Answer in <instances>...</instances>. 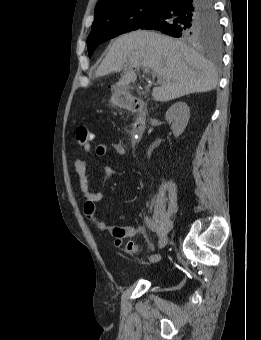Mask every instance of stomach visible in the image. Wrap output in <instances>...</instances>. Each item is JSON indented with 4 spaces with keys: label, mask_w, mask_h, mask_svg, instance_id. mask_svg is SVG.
<instances>
[{
    "label": "stomach",
    "mask_w": 261,
    "mask_h": 340,
    "mask_svg": "<svg viewBox=\"0 0 261 340\" xmlns=\"http://www.w3.org/2000/svg\"><path fill=\"white\" fill-rule=\"evenodd\" d=\"M128 93L124 89H115L111 96V104L114 107L124 106Z\"/></svg>",
    "instance_id": "obj_1"
}]
</instances>
